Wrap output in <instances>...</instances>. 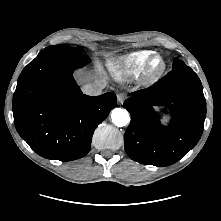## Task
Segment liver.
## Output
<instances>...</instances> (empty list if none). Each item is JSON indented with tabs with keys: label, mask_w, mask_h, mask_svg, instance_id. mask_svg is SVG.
I'll return each instance as SVG.
<instances>
[{
	"label": "liver",
	"mask_w": 221,
	"mask_h": 221,
	"mask_svg": "<svg viewBox=\"0 0 221 221\" xmlns=\"http://www.w3.org/2000/svg\"><path fill=\"white\" fill-rule=\"evenodd\" d=\"M88 79H89V77L87 75H84L83 78H82V81L86 82V81H88ZM102 81H104V80L102 78H99V79H95L94 83L102 82Z\"/></svg>",
	"instance_id": "6515ba94"
}]
</instances>
